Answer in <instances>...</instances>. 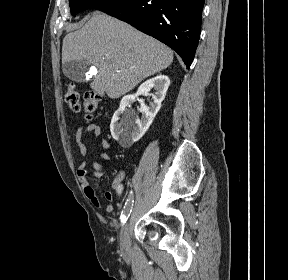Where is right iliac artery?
<instances>
[{"label": "right iliac artery", "mask_w": 288, "mask_h": 280, "mask_svg": "<svg viewBox=\"0 0 288 280\" xmlns=\"http://www.w3.org/2000/svg\"><path fill=\"white\" fill-rule=\"evenodd\" d=\"M133 202H134V193H133V191H131L128 195V198L125 202L124 208L121 212L120 220H121L122 225L127 221L128 217L132 211Z\"/></svg>", "instance_id": "82829eb1"}]
</instances>
